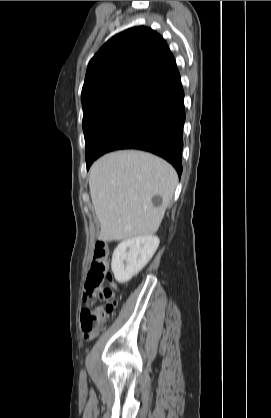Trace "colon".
Instances as JSON below:
<instances>
[{
  "label": "colon",
  "instance_id": "colon-1",
  "mask_svg": "<svg viewBox=\"0 0 271 418\" xmlns=\"http://www.w3.org/2000/svg\"><path fill=\"white\" fill-rule=\"evenodd\" d=\"M105 282H111L108 269V248L105 243L97 242L87 277L89 289L84 294L86 306L81 312L82 330L87 340L97 334L117 305L113 291L104 286ZM97 297L101 303L93 307Z\"/></svg>",
  "mask_w": 271,
  "mask_h": 418
}]
</instances>
